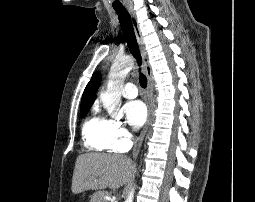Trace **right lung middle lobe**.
I'll list each match as a JSON object with an SVG mask.
<instances>
[{
    "mask_svg": "<svg viewBox=\"0 0 255 202\" xmlns=\"http://www.w3.org/2000/svg\"><path fill=\"white\" fill-rule=\"evenodd\" d=\"M91 106H82L80 109V116L84 117Z\"/></svg>",
    "mask_w": 255,
    "mask_h": 202,
    "instance_id": "right-lung-middle-lobe-1",
    "label": "right lung middle lobe"
}]
</instances>
